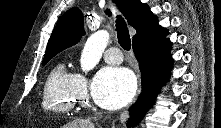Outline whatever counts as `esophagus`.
I'll return each instance as SVG.
<instances>
[{
  "label": "esophagus",
  "instance_id": "1",
  "mask_svg": "<svg viewBox=\"0 0 221 128\" xmlns=\"http://www.w3.org/2000/svg\"><path fill=\"white\" fill-rule=\"evenodd\" d=\"M128 117V113H127V110L124 111L121 115V120L124 121L126 118Z\"/></svg>",
  "mask_w": 221,
  "mask_h": 128
}]
</instances>
